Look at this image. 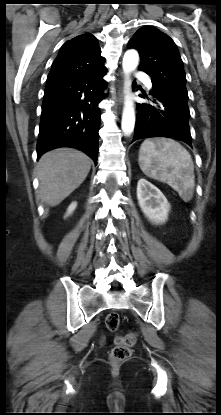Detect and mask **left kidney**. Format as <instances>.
<instances>
[{
    "label": "left kidney",
    "mask_w": 221,
    "mask_h": 415,
    "mask_svg": "<svg viewBox=\"0 0 221 415\" xmlns=\"http://www.w3.org/2000/svg\"><path fill=\"white\" fill-rule=\"evenodd\" d=\"M137 199L145 216L154 224H162L168 218L170 204L162 192L141 178L137 184Z\"/></svg>",
    "instance_id": "1"
}]
</instances>
